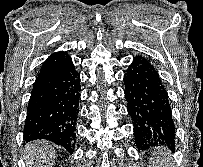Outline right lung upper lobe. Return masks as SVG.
I'll list each match as a JSON object with an SVG mask.
<instances>
[{
	"instance_id": "cb5924a9",
	"label": "right lung upper lobe",
	"mask_w": 203,
	"mask_h": 167,
	"mask_svg": "<svg viewBox=\"0 0 203 167\" xmlns=\"http://www.w3.org/2000/svg\"><path fill=\"white\" fill-rule=\"evenodd\" d=\"M71 59L67 55V52H58L52 54L42 65L40 73L36 78L35 83H39L41 81L50 78L59 72L64 65H66Z\"/></svg>"
}]
</instances>
